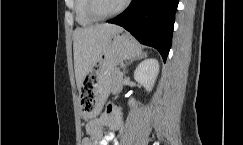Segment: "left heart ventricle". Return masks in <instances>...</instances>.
<instances>
[{"label": "left heart ventricle", "instance_id": "left-heart-ventricle-1", "mask_svg": "<svg viewBox=\"0 0 243 145\" xmlns=\"http://www.w3.org/2000/svg\"><path fill=\"white\" fill-rule=\"evenodd\" d=\"M124 0H98V9L101 13L108 14L117 10Z\"/></svg>", "mask_w": 243, "mask_h": 145}]
</instances>
